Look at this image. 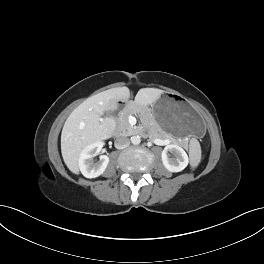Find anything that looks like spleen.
I'll return each mask as SVG.
<instances>
[{
    "label": "spleen",
    "mask_w": 264,
    "mask_h": 264,
    "mask_svg": "<svg viewBox=\"0 0 264 264\" xmlns=\"http://www.w3.org/2000/svg\"><path fill=\"white\" fill-rule=\"evenodd\" d=\"M200 159H201V151L197 147L196 155L192 159V166H194V167L197 166L199 164V162H200Z\"/></svg>",
    "instance_id": "spleen-1"
}]
</instances>
